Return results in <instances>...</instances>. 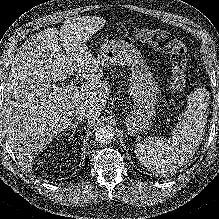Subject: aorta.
<instances>
[{"instance_id":"1","label":"aorta","mask_w":219,"mask_h":219,"mask_svg":"<svg viewBox=\"0 0 219 219\" xmlns=\"http://www.w3.org/2000/svg\"><path fill=\"white\" fill-rule=\"evenodd\" d=\"M115 135L113 127L109 125L100 126L95 132V142L98 145H105L112 142Z\"/></svg>"}]
</instances>
